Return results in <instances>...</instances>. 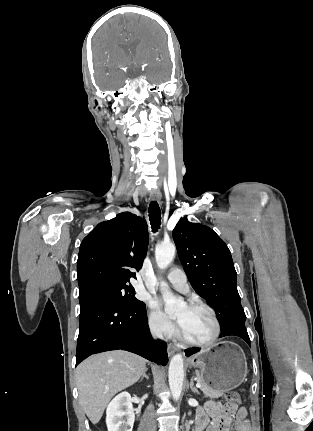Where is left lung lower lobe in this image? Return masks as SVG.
<instances>
[{
	"label": "left lung lower lobe",
	"mask_w": 313,
	"mask_h": 431,
	"mask_svg": "<svg viewBox=\"0 0 313 431\" xmlns=\"http://www.w3.org/2000/svg\"><path fill=\"white\" fill-rule=\"evenodd\" d=\"M224 336H237V337H240L243 340H245L249 346L251 345L250 338L248 336V333H247V330L245 328L244 323L233 324V325L221 330L220 337H224ZM199 350H200L199 348H188L185 350V355L190 356V355L198 352Z\"/></svg>",
	"instance_id": "1"
}]
</instances>
